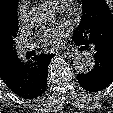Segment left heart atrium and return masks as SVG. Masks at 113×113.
<instances>
[{
  "instance_id": "39dd6f15",
  "label": "left heart atrium",
  "mask_w": 113,
  "mask_h": 113,
  "mask_svg": "<svg viewBox=\"0 0 113 113\" xmlns=\"http://www.w3.org/2000/svg\"><path fill=\"white\" fill-rule=\"evenodd\" d=\"M67 34L68 27L66 25H59L41 34L39 42L46 50L58 49L62 46L63 39Z\"/></svg>"
}]
</instances>
